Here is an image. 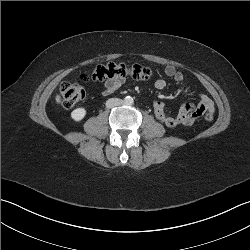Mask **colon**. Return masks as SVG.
<instances>
[{
  "label": "colon",
  "instance_id": "1",
  "mask_svg": "<svg viewBox=\"0 0 250 250\" xmlns=\"http://www.w3.org/2000/svg\"><path fill=\"white\" fill-rule=\"evenodd\" d=\"M152 76V71L148 67L140 65L127 66L125 64L109 63L97 66L92 72V79L95 81H104L113 78H132L135 80H148ZM60 100L64 107L70 108L80 103L85 98V90L82 86L64 82L61 84ZM204 119L211 121L213 119L212 112H205Z\"/></svg>",
  "mask_w": 250,
  "mask_h": 250
}]
</instances>
